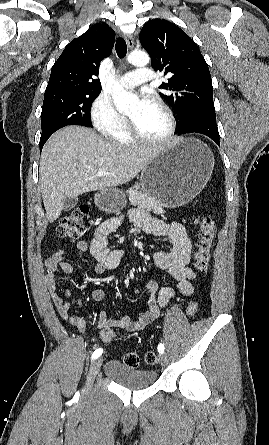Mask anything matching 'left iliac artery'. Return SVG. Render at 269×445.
<instances>
[{"label": "left iliac artery", "instance_id": "left-iliac-artery-1", "mask_svg": "<svg viewBox=\"0 0 269 445\" xmlns=\"http://www.w3.org/2000/svg\"><path fill=\"white\" fill-rule=\"evenodd\" d=\"M158 352L161 353V354L164 352V345L162 343H160L158 345Z\"/></svg>", "mask_w": 269, "mask_h": 445}]
</instances>
